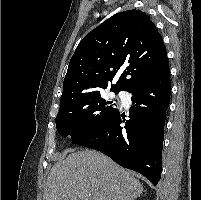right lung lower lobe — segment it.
<instances>
[{
	"label": "right lung lower lobe",
	"instance_id": "98d812e1",
	"mask_svg": "<svg viewBox=\"0 0 201 200\" xmlns=\"http://www.w3.org/2000/svg\"><path fill=\"white\" fill-rule=\"evenodd\" d=\"M130 93L134 105L124 127L121 126L123 115L118 110L98 129L72 143L101 151L157 185L162 171L164 124L171 94L170 70Z\"/></svg>",
	"mask_w": 201,
	"mask_h": 200
}]
</instances>
